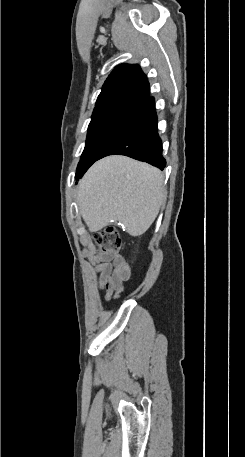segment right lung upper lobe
Returning a JSON list of instances; mask_svg holds the SVG:
<instances>
[{
	"instance_id": "obj_1",
	"label": "right lung upper lobe",
	"mask_w": 245,
	"mask_h": 457,
	"mask_svg": "<svg viewBox=\"0 0 245 457\" xmlns=\"http://www.w3.org/2000/svg\"><path fill=\"white\" fill-rule=\"evenodd\" d=\"M149 94V83L141 68L136 64H121L105 81L93 113L130 111Z\"/></svg>"
}]
</instances>
